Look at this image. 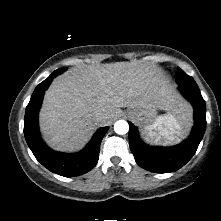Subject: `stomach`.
<instances>
[{
	"label": "stomach",
	"mask_w": 221,
	"mask_h": 221,
	"mask_svg": "<svg viewBox=\"0 0 221 221\" xmlns=\"http://www.w3.org/2000/svg\"><path fill=\"white\" fill-rule=\"evenodd\" d=\"M128 117L143 129L149 140L163 144L165 138L161 136L157 128L158 116L155 108H129L126 111Z\"/></svg>",
	"instance_id": "0dacf381"
}]
</instances>
